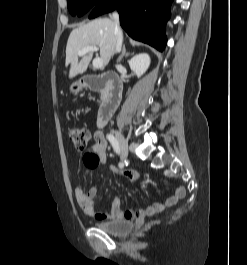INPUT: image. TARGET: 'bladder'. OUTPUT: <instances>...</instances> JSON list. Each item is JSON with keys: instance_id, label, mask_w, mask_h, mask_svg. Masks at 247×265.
Returning <instances> with one entry per match:
<instances>
[{"instance_id": "obj_1", "label": "bladder", "mask_w": 247, "mask_h": 265, "mask_svg": "<svg viewBox=\"0 0 247 265\" xmlns=\"http://www.w3.org/2000/svg\"><path fill=\"white\" fill-rule=\"evenodd\" d=\"M94 226L114 236L128 235L133 230V224L128 219H120L113 221H98L94 223Z\"/></svg>"}]
</instances>
